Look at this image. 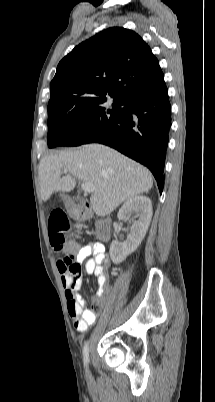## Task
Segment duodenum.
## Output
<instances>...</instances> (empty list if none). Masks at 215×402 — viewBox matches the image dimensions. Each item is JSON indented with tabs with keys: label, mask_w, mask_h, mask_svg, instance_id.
<instances>
[{
	"label": "duodenum",
	"mask_w": 215,
	"mask_h": 402,
	"mask_svg": "<svg viewBox=\"0 0 215 402\" xmlns=\"http://www.w3.org/2000/svg\"><path fill=\"white\" fill-rule=\"evenodd\" d=\"M70 213L77 220H87L92 214L85 203L70 205ZM96 234L101 241H108L111 237V221L108 218H98L96 221Z\"/></svg>",
	"instance_id": "1"
}]
</instances>
